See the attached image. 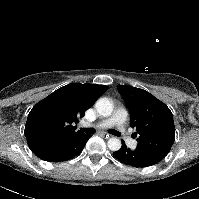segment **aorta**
<instances>
[{
	"mask_svg": "<svg viewBox=\"0 0 199 199\" xmlns=\"http://www.w3.org/2000/svg\"><path fill=\"white\" fill-rule=\"evenodd\" d=\"M95 108L97 113L103 117H108L113 112V104L107 98L99 99L95 104ZM107 145L110 150L117 151L121 148V141L116 137H112L108 140Z\"/></svg>",
	"mask_w": 199,
	"mask_h": 199,
	"instance_id": "obj_1",
	"label": "aorta"
}]
</instances>
